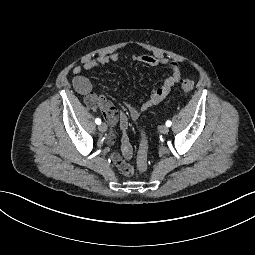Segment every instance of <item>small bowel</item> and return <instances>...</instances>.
Masks as SVG:
<instances>
[{
  "mask_svg": "<svg viewBox=\"0 0 255 255\" xmlns=\"http://www.w3.org/2000/svg\"><path fill=\"white\" fill-rule=\"evenodd\" d=\"M133 59L137 62L150 66L162 65L169 70V75L162 82V84L154 89L150 97L139 107H134L128 104L129 114L133 119L136 120L140 117L142 112L159 104L167 97L174 85L180 81L182 77V67L179 62L169 59L163 55L137 54L133 56ZM118 60L119 55L116 52L108 55H99L95 58L85 60L82 66H75L72 69V81L74 88L78 93L84 96V101L90 108H99L112 128L116 124L119 125L122 131L121 154L113 152L112 160L121 173L129 176L133 174L134 169L129 164V161L133 156V150L127 135L128 115L125 111L115 108L113 104L103 95L95 94L92 91V84L90 80L81 74L83 69L91 70L94 68L103 67L109 63L117 62ZM112 137L113 131L111 132V139Z\"/></svg>",
  "mask_w": 255,
  "mask_h": 255,
  "instance_id": "obj_1",
  "label": "small bowel"
}]
</instances>
